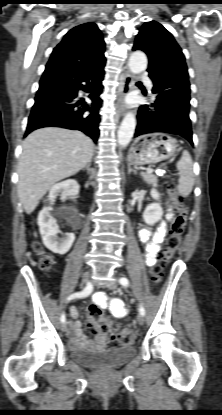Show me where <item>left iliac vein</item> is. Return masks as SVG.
Listing matches in <instances>:
<instances>
[{"instance_id": "left-iliac-vein-1", "label": "left iliac vein", "mask_w": 222, "mask_h": 415, "mask_svg": "<svg viewBox=\"0 0 222 415\" xmlns=\"http://www.w3.org/2000/svg\"><path fill=\"white\" fill-rule=\"evenodd\" d=\"M107 288L114 290V289L117 288V285L115 283H108ZM137 322H138L139 325H143L144 318L141 314L137 316Z\"/></svg>"}]
</instances>
